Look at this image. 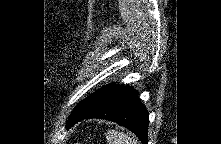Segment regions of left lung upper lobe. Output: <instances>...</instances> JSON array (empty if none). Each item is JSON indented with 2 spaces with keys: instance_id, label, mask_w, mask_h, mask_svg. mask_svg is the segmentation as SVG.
I'll return each instance as SVG.
<instances>
[{
  "instance_id": "left-lung-upper-lobe-1",
  "label": "left lung upper lobe",
  "mask_w": 221,
  "mask_h": 144,
  "mask_svg": "<svg viewBox=\"0 0 221 144\" xmlns=\"http://www.w3.org/2000/svg\"><path fill=\"white\" fill-rule=\"evenodd\" d=\"M112 85L113 84L107 85L106 87L97 90L95 93L91 94L89 97L80 102L73 111V113L70 115L69 119L67 120V125L71 121H73L80 115L85 114L92 107H94L104 97V95L107 93V91L111 88Z\"/></svg>"
}]
</instances>
